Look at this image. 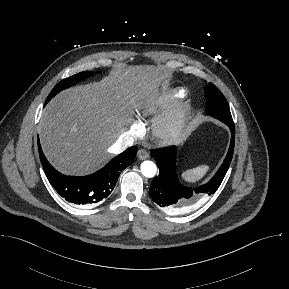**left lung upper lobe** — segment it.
Wrapping results in <instances>:
<instances>
[{"label": "left lung upper lobe", "mask_w": 289, "mask_h": 289, "mask_svg": "<svg viewBox=\"0 0 289 289\" xmlns=\"http://www.w3.org/2000/svg\"><path fill=\"white\" fill-rule=\"evenodd\" d=\"M205 97L207 99L206 114L222 122L233 121L226 98L214 84L209 83L206 87Z\"/></svg>", "instance_id": "obj_1"}]
</instances>
